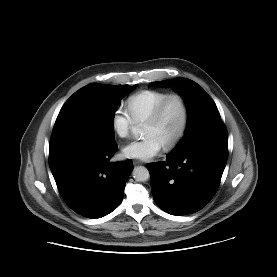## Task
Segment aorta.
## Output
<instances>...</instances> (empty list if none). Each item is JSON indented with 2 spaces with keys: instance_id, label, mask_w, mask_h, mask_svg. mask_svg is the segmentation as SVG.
I'll return each mask as SVG.
<instances>
[{
  "instance_id": "1",
  "label": "aorta",
  "mask_w": 277,
  "mask_h": 277,
  "mask_svg": "<svg viewBox=\"0 0 277 277\" xmlns=\"http://www.w3.org/2000/svg\"><path fill=\"white\" fill-rule=\"evenodd\" d=\"M132 133L137 137V136H139L140 131H139L138 128L133 127L132 128ZM132 175H133V178L136 181H140V182H145L150 177L148 169L146 167H144V166H137V167H135L133 169Z\"/></svg>"
}]
</instances>
